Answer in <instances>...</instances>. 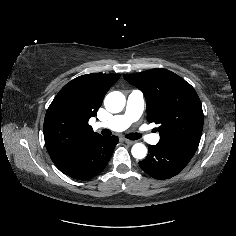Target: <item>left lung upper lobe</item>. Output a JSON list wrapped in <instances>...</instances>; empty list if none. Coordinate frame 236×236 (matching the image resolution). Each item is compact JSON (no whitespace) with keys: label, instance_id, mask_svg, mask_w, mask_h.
Listing matches in <instances>:
<instances>
[{"label":"left lung upper lobe","instance_id":"5c2ea615","mask_svg":"<svg viewBox=\"0 0 236 236\" xmlns=\"http://www.w3.org/2000/svg\"><path fill=\"white\" fill-rule=\"evenodd\" d=\"M123 77L144 93L147 120L159 124V143L199 144L203 111L196 91L188 82L163 68Z\"/></svg>","mask_w":236,"mask_h":236}]
</instances>
